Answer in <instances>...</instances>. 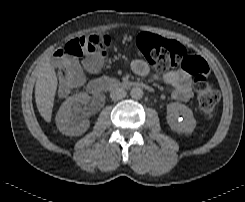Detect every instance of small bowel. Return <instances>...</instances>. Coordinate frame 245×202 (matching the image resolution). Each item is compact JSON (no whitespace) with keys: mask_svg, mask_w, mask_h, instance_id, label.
<instances>
[{"mask_svg":"<svg viewBox=\"0 0 245 202\" xmlns=\"http://www.w3.org/2000/svg\"><path fill=\"white\" fill-rule=\"evenodd\" d=\"M101 69V63L98 61L89 62V71L91 73H97ZM131 69L134 74L140 77H147L150 75V69L148 64L141 60L136 59L131 64ZM153 79L162 80L167 85H170L173 90L171 97L177 101H188L192 98V80L191 76L184 70L178 69L169 71L162 77L158 75H153ZM82 81H80L81 85ZM59 92L62 94L67 93L70 90L68 85L62 84L58 88Z\"/></svg>","mask_w":245,"mask_h":202,"instance_id":"c3829d8e","label":"small bowel"}]
</instances>
